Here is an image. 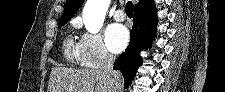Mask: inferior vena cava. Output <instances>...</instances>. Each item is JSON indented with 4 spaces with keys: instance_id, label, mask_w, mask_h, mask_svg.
Segmentation results:
<instances>
[{
    "instance_id": "obj_1",
    "label": "inferior vena cava",
    "mask_w": 225,
    "mask_h": 92,
    "mask_svg": "<svg viewBox=\"0 0 225 92\" xmlns=\"http://www.w3.org/2000/svg\"><path fill=\"white\" fill-rule=\"evenodd\" d=\"M115 58L113 55L108 53L107 51H103L101 55V65L99 69L103 71L104 73L111 76L112 81L117 77V72L113 71V65H114Z\"/></svg>"
}]
</instances>
